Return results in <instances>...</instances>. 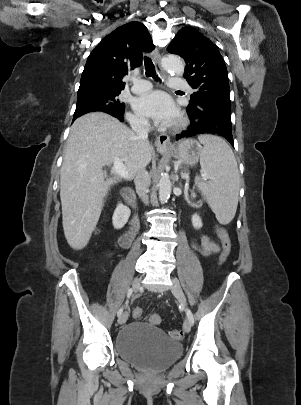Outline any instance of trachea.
Here are the masks:
<instances>
[{"label":"trachea","instance_id":"obj_1","mask_svg":"<svg viewBox=\"0 0 301 405\" xmlns=\"http://www.w3.org/2000/svg\"><path fill=\"white\" fill-rule=\"evenodd\" d=\"M144 64H145V70H146V75L149 77H152L154 79H157L156 71H155V66L152 62V60L145 56L144 57Z\"/></svg>","mask_w":301,"mask_h":405}]
</instances>
